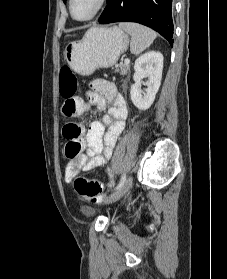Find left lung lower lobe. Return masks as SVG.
<instances>
[{
  "instance_id": "left-lung-lower-lobe-1",
  "label": "left lung lower lobe",
  "mask_w": 227,
  "mask_h": 279,
  "mask_svg": "<svg viewBox=\"0 0 227 279\" xmlns=\"http://www.w3.org/2000/svg\"><path fill=\"white\" fill-rule=\"evenodd\" d=\"M122 21L148 26L173 45L172 0H107L98 23Z\"/></svg>"
}]
</instances>
